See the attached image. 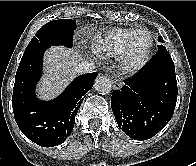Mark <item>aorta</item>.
Instances as JSON below:
<instances>
[{"label":"aorta","instance_id":"obj_1","mask_svg":"<svg viewBox=\"0 0 196 166\" xmlns=\"http://www.w3.org/2000/svg\"><path fill=\"white\" fill-rule=\"evenodd\" d=\"M95 90L100 94H108L111 91L112 84L107 77H98L94 83Z\"/></svg>","mask_w":196,"mask_h":166}]
</instances>
